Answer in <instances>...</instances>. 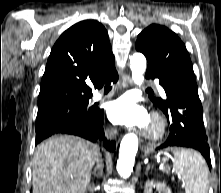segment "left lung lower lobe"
Instances as JSON below:
<instances>
[{
	"label": "left lung lower lobe",
	"instance_id": "0a47b994",
	"mask_svg": "<svg viewBox=\"0 0 221 193\" xmlns=\"http://www.w3.org/2000/svg\"><path fill=\"white\" fill-rule=\"evenodd\" d=\"M146 78H158L167 96L164 105L151 98L167 116L170 125V135L158 149L169 147L195 149L204 156L211 169L210 148L205 135L203 109L195 76L172 74L148 65Z\"/></svg>",
	"mask_w": 221,
	"mask_h": 193
}]
</instances>
